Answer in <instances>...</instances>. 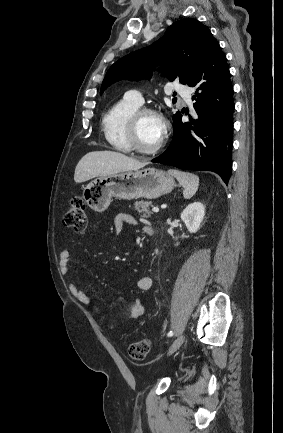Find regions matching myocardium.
I'll return each mask as SVG.
<instances>
[{"label":"myocardium","mask_w":283,"mask_h":433,"mask_svg":"<svg viewBox=\"0 0 283 433\" xmlns=\"http://www.w3.org/2000/svg\"><path fill=\"white\" fill-rule=\"evenodd\" d=\"M153 114L163 122V132L158 147L154 151H147L141 147L138 139V129L141 119L147 115ZM168 129V122L161 112L152 107L138 108L129 118L127 125V139L130 149L142 157H156L165 151V138Z\"/></svg>","instance_id":"myocardium-1"}]
</instances>
